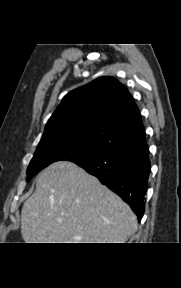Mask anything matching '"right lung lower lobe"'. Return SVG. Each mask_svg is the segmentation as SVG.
Masks as SVG:
<instances>
[{
  "label": "right lung lower lobe",
  "mask_w": 181,
  "mask_h": 288,
  "mask_svg": "<svg viewBox=\"0 0 181 288\" xmlns=\"http://www.w3.org/2000/svg\"><path fill=\"white\" fill-rule=\"evenodd\" d=\"M118 194L140 221L151 163L146 142L71 160Z\"/></svg>",
  "instance_id": "right-lung-lower-lobe-1"
}]
</instances>
